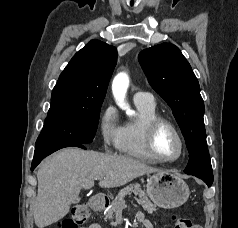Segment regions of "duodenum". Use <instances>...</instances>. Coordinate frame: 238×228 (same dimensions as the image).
<instances>
[{
	"label": "duodenum",
	"mask_w": 238,
	"mask_h": 228,
	"mask_svg": "<svg viewBox=\"0 0 238 228\" xmlns=\"http://www.w3.org/2000/svg\"><path fill=\"white\" fill-rule=\"evenodd\" d=\"M108 198L103 195H96L91 198L89 206L94 211H102L108 205Z\"/></svg>",
	"instance_id": "obj_1"
}]
</instances>
